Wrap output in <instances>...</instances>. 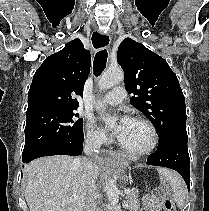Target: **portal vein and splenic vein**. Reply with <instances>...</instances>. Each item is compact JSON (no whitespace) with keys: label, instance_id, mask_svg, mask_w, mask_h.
<instances>
[{"label":"portal vein and splenic vein","instance_id":"1","mask_svg":"<svg viewBox=\"0 0 209 211\" xmlns=\"http://www.w3.org/2000/svg\"><path fill=\"white\" fill-rule=\"evenodd\" d=\"M129 192H130V190L128 189V190L125 191V194H128ZM73 199H76V196H74L73 198H71V199L69 200V202H70L71 200H73Z\"/></svg>","mask_w":209,"mask_h":211}]
</instances>
